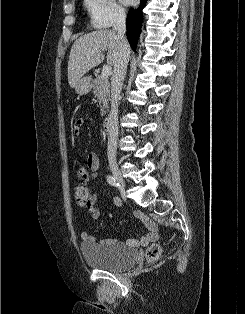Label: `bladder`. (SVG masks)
Masks as SVG:
<instances>
[{"mask_svg": "<svg viewBox=\"0 0 245 314\" xmlns=\"http://www.w3.org/2000/svg\"><path fill=\"white\" fill-rule=\"evenodd\" d=\"M80 251L88 265L108 271L128 268L134 265L138 258L135 249L121 242L84 243L80 246Z\"/></svg>", "mask_w": 245, "mask_h": 314, "instance_id": "bladder-1", "label": "bladder"}]
</instances>
